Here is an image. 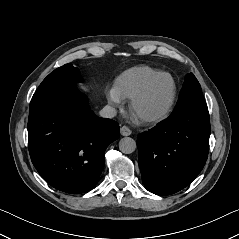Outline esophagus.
<instances>
[{
  "label": "esophagus",
  "instance_id": "esophagus-1",
  "mask_svg": "<svg viewBox=\"0 0 239 239\" xmlns=\"http://www.w3.org/2000/svg\"><path fill=\"white\" fill-rule=\"evenodd\" d=\"M120 133L123 136H129V135H131L132 131L127 126H122L120 128Z\"/></svg>",
  "mask_w": 239,
  "mask_h": 239
}]
</instances>
